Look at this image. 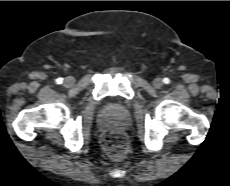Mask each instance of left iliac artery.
Wrapping results in <instances>:
<instances>
[{"label":"left iliac artery","mask_w":230,"mask_h":186,"mask_svg":"<svg viewBox=\"0 0 230 186\" xmlns=\"http://www.w3.org/2000/svg\"><path fill=\"white\" fill-rule=\"evenodd\" d=\"M163 82H164L165 84H169V83H170V79H169V78H164V79H163Z\"/></svg>","instance_id":"obj_1"}]
</instances>
